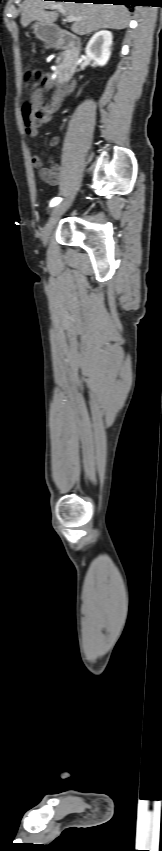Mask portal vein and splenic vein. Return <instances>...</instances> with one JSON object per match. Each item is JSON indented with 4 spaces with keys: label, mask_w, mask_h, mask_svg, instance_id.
I'll use <instances>...</instances> for the list:
<instances>
[{
    "label": "portal vein and splenic vein",
    "mask_w": 162,
    "mask_h": 851,
    "mask_svg": "<svg viewBox=\"0 0 162 851\" xmlns=\"http://www.w3.org/2000/svg\"><path fill=\"white\" fill-rule=\"evenodd\" d=\"M54 8H57V7L54 6ZM58 10L66 17L67 22H73V21H76V20L79 19V18L74 17L73 15H68L63 7H59Z\"/></svg>",
    "instance_id": "18ae733b"
}]
</instances>
